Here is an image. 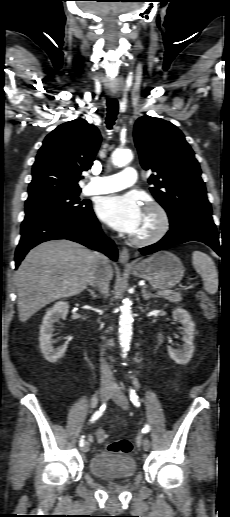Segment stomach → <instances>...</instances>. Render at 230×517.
<instances>
[{
	"label": "stomach",
	"mask_w": 230,
	"mask_h": 517,
	"mask_svg": "<svg viewBox=\"0 0 230 517\" xmlns=\"http://www.w3.org/2000/svg\"><path fill=\"white\" fill-rule=\"evenodd\" d=\"M130 272L146 279L158 289H170L183 278L184 266L180 259L168 251H160L129 267Z\"/></svg>",
	"instance_id": "1"
}]
</instances>
